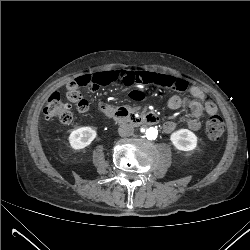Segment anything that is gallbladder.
Wrapping results in <instances>:
<instances>
[{
  "instance_id": "bac80fb5",
  "label": "gallbladder",
  "mask_w": 250,
  "mask_h": 250,
  "mask_svg": "<svg viewBox=\"0 0 250 250\" xmlns=\"http://www.w3.org/2000/svg\"><path fill=\"white\" fill-rule=\"evenodd\" d=\"M64 107H65V108H67V109H71V108H72V105H71V104L66 103V104H64Z\"/></svg>"
}]
</instances>
